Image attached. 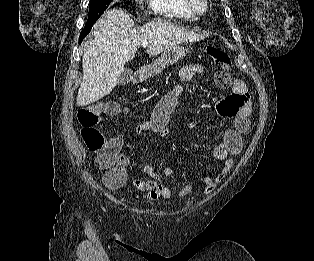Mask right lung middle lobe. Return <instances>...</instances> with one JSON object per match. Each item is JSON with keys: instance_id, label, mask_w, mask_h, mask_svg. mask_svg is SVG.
Segmentation results:
<instances>
[{"instance_id": "dd1d6c3e", "label": "right lung middle lobe", "mask_w": 314, "mask_h": 261, "mask_svg": "<svg viewBox=\"0 0 314 261\" xmlns=\"http://www.w3.org/2000/svg\"><path fill=\"white\" fill-rule=\"evenodd\" d=\"M113 0H90L88 21L86 25H91L103 14Z\"/></svg>"}]
</instances>
